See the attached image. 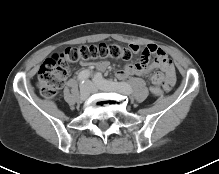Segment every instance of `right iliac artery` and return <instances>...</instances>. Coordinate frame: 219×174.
Here are the masks:
<instances>
[{
  "mask_svg": "<svg viewBox=\"0 0 219 174\" xmlns=\"http://www.w3.org/2000/svg\"><path fill=\"white\" fill-rule=\"evenodd\" d=\"M90 74H91L90 71L84 70V71L79 73L78 80L81 83H84L86 81V79L90 76Z\"/></svg>",
  "mask_w": 219,
  "mask_h": 174,
  "instance_id": "82829eb1",
  "label": "right iliac artery"
}]
</instances>
